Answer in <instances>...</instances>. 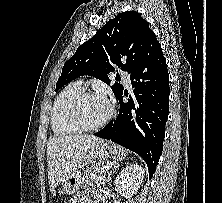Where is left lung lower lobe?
<instances>
[{"label":"left lung lower lobe","instance_id":"1","mask_svg":"<svg viewBox=\"0 0 222 203\" xmlns=\"http://www.w3.org/2000/svg\"><path fill=\"white\" fill-rule=\"evenodd\" d=\"M135 88L133 98L122 101L115 121L95 136L111 140L140 155L152 177L163 149L165 124L169 112V75L166 59L154 32L148 36L144 52L129 72Z\"/></svg>","mask_w":222,"mask_h":203}]
</instances>
